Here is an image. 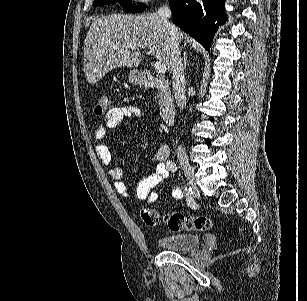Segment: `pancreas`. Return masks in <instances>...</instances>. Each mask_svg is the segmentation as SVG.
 <instances>
[{"mask_svg":"<svg viewBox=\"0 0 307 301\" xmlns=\"http://www.w3.org/2000/svg\"><path fill=\"white\" fill-rule=\"evenodd\" d=\"M156 96L159 98V96H162V92H157Z\"/></svg>","mask_w":307,"mask_h":301,"instance_id":"cf45deb5","label":"pancreas"}]
</instances>
